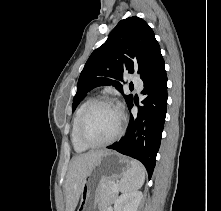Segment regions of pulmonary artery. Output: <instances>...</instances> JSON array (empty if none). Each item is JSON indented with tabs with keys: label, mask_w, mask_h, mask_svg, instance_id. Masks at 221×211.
<instances>
[{
	"label": "pulmonary artery",
	"mask_w": 221,
	"mask_h": 211,
	"mask_svg": "<svg viewBox=\"0 0 221 211\" xmlns=\"http://www.w3.org/2000/svg\"><path fill=\"white\" fill-rule=\"evenodd\" d=\"M132 83L135 85V87L140 90L143 86V82L140 78L138 77H133L132 78Z\"/></svg>",
	"instance_id": "obj_1"
}]
</instances>
